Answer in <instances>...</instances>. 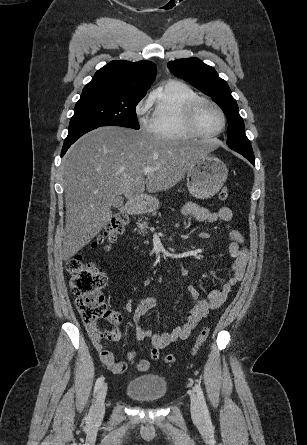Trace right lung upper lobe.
Segmentation results:
<instances>
[{"instance_id":"right-lung-upper-lobe-1","label":"right lung upper lobe","mask_w":307,"mask_h":445,"mask_svg":"<svg viewBox=\"0 0 307 445\" xmlns=\"http://www.w3.org/2000/svg\"><path fill=\"white\" fill-rule=\"evenodd\" d=\"M156 77V66L149 61H111L98 70L83 88L81 96L118 95L144 97Z\"/></svg>"}]
</instances>
